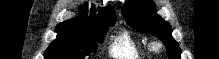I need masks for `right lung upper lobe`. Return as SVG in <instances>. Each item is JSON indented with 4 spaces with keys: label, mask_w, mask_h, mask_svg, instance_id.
<instances>
[{
    "label": "right lung upper lobe",
    "mask_w": 219,
    "mask_h": 59,
    "mask_svg": "<svg viewBox=\"0 0 219 59\" xmlns=\"http://www.w3.org/2000/svg\"><path fill=\"white\" fill-rule=\"evenodd\" d=\"M86 10V7H83ZM116 14L112 7H103L97 15L93 14L90 17L80 16L67 20L61 24L70 26H80L84 28H101L111 24H115Z\"/></svg>",
    "instance_id": "right-lung-upper-lobe-1"
}]
</instances>
